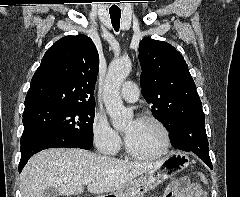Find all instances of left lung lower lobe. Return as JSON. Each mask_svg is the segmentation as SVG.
Masks as SVG:
<instances>
[{
  "mask_svg": "<svg viewBox=\"0 0 240 197\" xmlns=\"http://www.w3.org/2000/svg\"><path fill=\"white\" fill-rule=\"evenodd\" d=\"M169 137L174 148L194 152L212 169L202 109L180 116Z\"/></svg>",
  "mask_w": 240,
  "mask_h": 197,
  "instance_id": "0a47b994",
  "label": "left lung lower lobe"
}]
</instances>
